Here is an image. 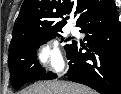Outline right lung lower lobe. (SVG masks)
Segmentation results:
<instances>
[{
    "label": "right lung lower lobe",
    "mask_w": 121,
    "mask_h": 94,
    "mask_svg": "<svg viewBox=\"0 0 121 94\" xmlns=\"http://www.w3.org/2000/svg\"><path fill=\"white\" fill-rule=\"evenodd\" d=\"M79 27L85 33L88 53L75 42L67 53L71 81L85 84L101 94H121V26L115 2L86 19ZM56 75L48 72L40 80Z\"/></svg>",
    "instance_id": "obj_1"
}]
</instances>
